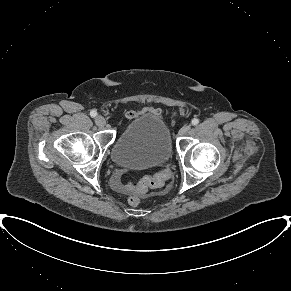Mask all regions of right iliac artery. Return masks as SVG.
<instances>
[{
  "label": "right iliac artery",
  "instance_id": "right-iliac-artery-1",
  "mask_svg": "<svg viewBox=\"0 0 291 291\" xmlns=\"http://www.w3.org/2000/svg\"><path fill=\"white\" fill-rule=\"evenodd\" d=\"M90 116L93 117V118H95L97 116V112L95 110H92L90 112Z\"/></svg>",
  "mask_w": 291,
  "mask_h": 291
}]
</instances>
